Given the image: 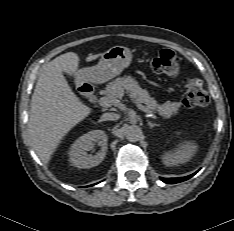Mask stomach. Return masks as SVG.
Segmentation results:
<instances>
[{
    "instance_id": "stomach-1",
    "label": "stomach",
    "mask_w": 234,
    "mask_h": 231,
    "mask_svg": "<svg viewBox=\"0 0 234 231\" xmlns=\"http://www.w3.org/2000/svg\"><path fill=\"white\" fill-rule=\"evenodd\" d=\"M132 61V53L124 46H114L102 54L98 64L77 72V79L104 83L119 75Z\"/></svg>"
}]
</instances>
